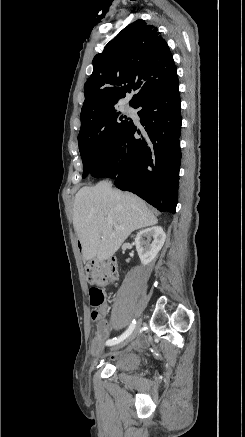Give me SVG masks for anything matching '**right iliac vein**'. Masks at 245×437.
Returning a JSON list of instances; mask_svg holds the SVG:
<instances>
[{"label": "right iliac vein", "instance_id": "obj_1", "mask_svg": "<svg viewBox=\"0 0 245 437\" xmlns=\"http://www.w3.org/2000/svg\"><path fill=\"white\" fill-rule=\"evenodd\" d=\"M141 324H142V320L140 319V320L138 321V323L135 325L134 332H133L132 334H130V336H128V338H127L125 341H122L121 343H119V344L113 346V347L111 348V350H117V349H119V348L125 346V345H126L127 343H129L131 340H133V339L135 338V336L137 335L138 330H139V328L141 327Z\"/></svg>", "mask_w": 245, "mask_h": 437}]
</instances>
